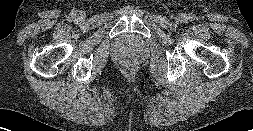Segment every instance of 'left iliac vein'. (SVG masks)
<instances>
[{
  "mask_svg": "<svg viewBox=\"0 0 253 131\" xmlns=\"http://www.w3.org/2000/svg\"><path fill=\"white\" fill-rule=\"evenodd\" d=\"M176 20L178 22H183L186 20V16L184 14H178L177 17H176Z\"/></svg>",
  "mask_w": 253,
  "mask_h": 131,
  "instance_id": "obj_1",
  "label": "left iliac vein"
}]
</instances>
